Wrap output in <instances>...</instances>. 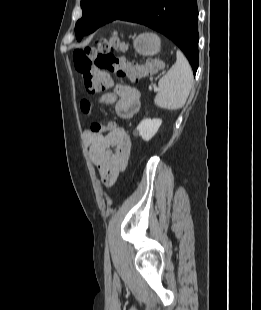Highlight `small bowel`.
<instances>
[{
  "label": "small bowel",
  "instance_id": "c3829d8e",
  "mask_svg": "<svg viewBox=\"0 0 261 310\" xmlns=\"http://www.w3.org/2000/svg\"><path fill=\"white\" fill-rule=\"evenodd\" d=\"M97 102L114 104L119 117L131 119L140 109L141 96L136 88L117 84L113 91L102 94ZM91 105L89 100H83L82 112L89 114ZM103 126L104 129L101 132L86 130L84 137L89 145L90 158L102 180L106 185H112L118 174L127 166L132 144L127 131L117 126L115 122L110 121Z\"/></svg>",
  "mask_w": 261,
  "mask_h": 310
}]
</instances>
